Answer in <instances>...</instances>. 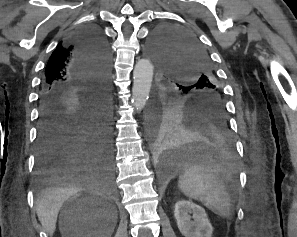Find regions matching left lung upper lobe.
<instances>
[{
  "label": "left lung upper lobe",
  "instance_id": "5c2ea615",
  "mask_svg": "<svg viewBox=\"0 0 297 237\" xmlns=\"http://www.w3.org/2000/svg\"><path fill=\"white\" fill-rule=\"evenodd\" d=\"M149 51L159 65L161 85L172 103L208 101L226 113L217 76L196 37L173 26L160 27L153 32Z\"/></svg>",
  "mask_w": 297,
  "mask_h": 237
}]
</instances>
